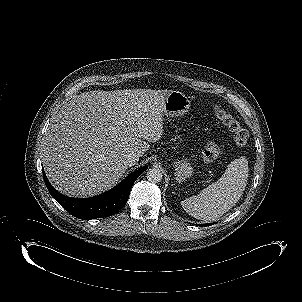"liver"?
I'll list each match as a JSON object with an SVG mask.
<instances>
[{
	"instance_id": "1",
	"label": "liver",
	"mask_w": 302,
	"mask_h": 302,
	"mask_svg": "<svg viewBox=\"0 0 302 302\" xmlns=\"http://www.w3.org/2000/svg\"><path fill=\"white\" fill-rule=\"evenodd\" d=\"M170 90L84 92L62 106L45 139L43 166L51 184L85 198L117 184L130 152L142 156L163 134Z\"/></svg>"
}]
</instances>
